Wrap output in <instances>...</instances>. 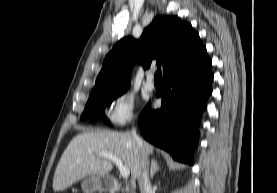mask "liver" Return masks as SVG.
<instances>
[{
	"label": "liver",
	"mask_w": 277,
	"mask_h": 193,
	"mask_svg": "<svg viewBox=\"0 0 277 193\" xmlns=\"http://www.w3.org/2000/svg\"><path fill=\"white\" fill-rule=\"evenodd\" d=\"M153 150L151 144L141 141L139 145L128 133L106 130L80 133L69 143L59 160L53 178V190L63 191L87 176L106 175L111 171L112 161L99 157L100 152L119 158L130 169L132 179L135 180L142 169V153L148 158Z\"/></svg>",
	"instance_id": "liver-1"
}]
</instances>
